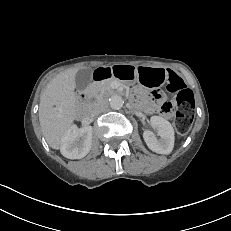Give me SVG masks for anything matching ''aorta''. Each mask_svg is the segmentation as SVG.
Masks as SVG:
<instances>
[{
    "mask_svg": "<svg viewBox=\"0 0 231 231\" xmlns=\"http://www.w3.org/2000/svg\"><path fill=\"white\" fill-rule=\"evenodd\" d=\"M110 107L114 110H119L122 108L124 101L121 96L113 95L109 99Z\"/></svg>",
    "mask_w": 231,
    "mask_h": 231,
    "instance_id": "1",
    "label": "aorta"
}]
</instances>
